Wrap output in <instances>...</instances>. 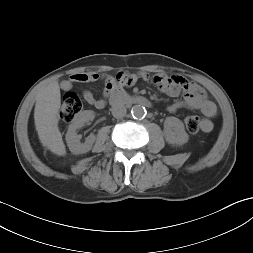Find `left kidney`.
Here are the masks:
<instances>
[{"label": "left kidney", "instance_id": "left-kidney-1", "mask_svg": "<svg viewBox=\"0 0 253 253\" xmlns=\"http://www.w3.org/2000/svg\"><path fill=\"white\" fill-rule=\"evenodd\" d=\"M164 136L169 144L183 145L189 136L184 129L183 122L176 117H167L164 121Z\"/></svg>", "mask_w": 253, "mask_h": 253}]
</instances>
